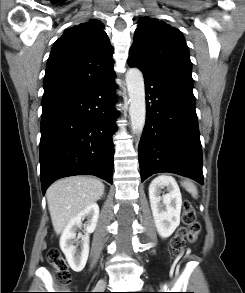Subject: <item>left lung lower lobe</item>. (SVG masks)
Listing matches in <instances>:
<instances>
[{"label": "left lung lower lobe", "mask_w": 245, "mask_h": 293, "mask_svg": "<svg viewBox=\"0 0 245 293\" xmlns=\"http://www.w3.org/2000/svg\"><path fill=\"white\" fill-rule=\"evenodd\" d=\"M138 67L145 78L146 123L138 156L142 181L171 172L203 184L202 150L193 91Z\"/></svg>", "instance_id": "left-lung-lower-lobe-1"}]
</instances>
